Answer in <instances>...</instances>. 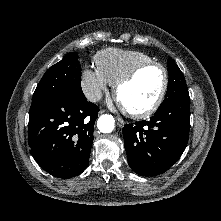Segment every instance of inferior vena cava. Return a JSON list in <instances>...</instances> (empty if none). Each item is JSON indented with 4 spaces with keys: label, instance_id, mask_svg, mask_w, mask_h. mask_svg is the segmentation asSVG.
<instances>
[{
    "label": "inferior vena cava",
    "instance_id": "inferior-vena-cava-1",
    "mask_svg": "<svg viewBox=\"0 0 221 221\" xmlns=\"http://www.w3.org/2000/svg\"><path fill=\"white\" fill-rule=\"evenodd\" d=\"M85 95L86 98L92 102L99 101L102 97L101 91L95 88L88 90Z\"/></svg>",
    "mask_w": 221,
    "mask_h": 221
}]
</instances>
